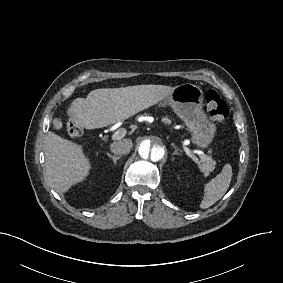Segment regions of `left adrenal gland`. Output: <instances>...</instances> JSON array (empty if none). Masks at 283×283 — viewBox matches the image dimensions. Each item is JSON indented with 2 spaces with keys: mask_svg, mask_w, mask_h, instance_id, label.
<instances>
[{
  "mask_svg": "<svg viewBox=\"0 0 283 283\" xmlns=\"http://www.w3.org/2000/svg\"><path fill=\"white\" fill-rule=\"evenodd\" d=\"M173 147H174V149H175V151L173 152V155H178L179 154V152H178V148H176L174 145H173Z\"/></svg>",
  "mask_w": 283,
  "mask_h": 283,
  "instance_id": "a2214340",
  "label": "left adrenal gland"
}]
</instances>
